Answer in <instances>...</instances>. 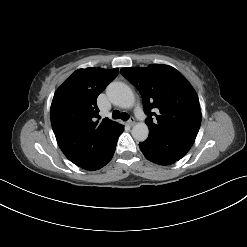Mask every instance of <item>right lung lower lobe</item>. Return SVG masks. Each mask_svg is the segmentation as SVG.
<instances>
[{
    "label": "right lung lower lobe",
    "instance_id": "right-lung-lower-lobe-1",
    "mask_svg": "<svg viewBox=\"0 0 247 247\" xmlns=\"http://www.w3.org/2000/svg\"><path fill=\"white\" fill-rule=\"evenodd\" d=\"M123 130V125L116 124L110 130L99 135L93 140L88 154L74 164L86 170H98L105 166L112 159L118 137Z\"/></svg>",
    "mask_w": 247,
    "mask_h": 247
}]
</instances>
